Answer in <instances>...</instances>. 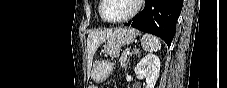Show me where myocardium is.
Masks as SVG:
<instances>
[{"mask_svg":"<svg viewBox=\"0 0 227 88\" xmlns=\"http://www.w3.org/2000/svg\"><path fill=\"white\" fill-rule=\"evenodd\" d=\"M107 0H101L100 1V8H99V15L101 17V19L105 22V23H109V24H120V23H124L127 22L128 20H130L131 18H133L139 11L140 6H141V2L142 0H134V9L125 17H122L120 19H116V20H110L107 19L104 14H103V8L106 4Z\"/></svg>","mask_w":227,"mask_h":88,"instance_id":"myocardium-1","label":"myocardium"}]
</instances>
